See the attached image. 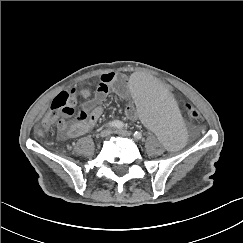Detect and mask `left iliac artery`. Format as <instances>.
Here are the masks:
<instances>
[{"label": "left iliac artery", "mask_w": 243, "mask_h": 243, "mask_svg": "<svg viewBox=\"0 0 243 243\" xmlns=\"http://www.w3.org/2000/svg\"><path fill=\"white\" fill-rule=\"evenodd\" d=\"M134 137L136 138V139H141L142 138V134L140 133V132H135L134 133Z\"/></svg>", "instance_id": "1"}]
</instances>
